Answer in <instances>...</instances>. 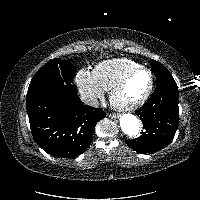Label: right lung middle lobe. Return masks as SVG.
Returning <instances> with one entry per match:
<instances>
[{
	"mask_svg": "<svg viewBox=\"0 0 200 200\" xmlns=\"http://www.w3.org/2000/svg\"><path fill=\"white\" fill-rule=\"evenodd\" d=\"M75 67L65 60L52 59L47 62L32 78L28 91L51 86L71 85Z\"/></svg>",
	"mask_w": 200,
	"mask_h": 200,
	"instance_id": "dd1d6c3e",
	"label": "right lung middle lobe"
}]
</instances>
